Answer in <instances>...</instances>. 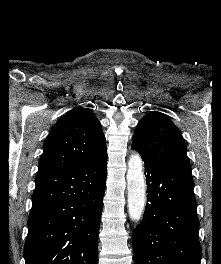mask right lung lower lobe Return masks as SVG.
I'll return each mask as SVG.
<instances>
[{"mask_svg": "<svg viewBox=\"0 0 221 264\" xmlns=\"http://www.w3.org/2000/svg\"><path fill=\"white\" fill-rule=\"evenodd\" d=\"M106 166L107 156L37 175L24 246L26 264H98Z\"/></svg>", "mask_w": 221, "mask_h": 264, "instance_id": "right-lung-lower-lobe-1", "label": "right lung lower lobe"}]
</instances>
